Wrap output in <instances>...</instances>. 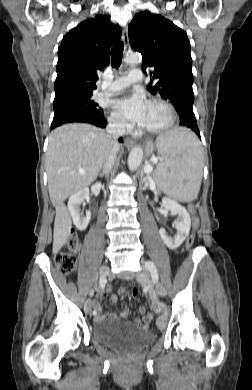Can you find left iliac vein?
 Masks as SVG:
<instances>
[{
	"instance_id": "1",
	"label": "left iliac vein",
	"mask_w": 252,
	"mask_h": 390,
	"mask_svg": "<svg viewBox=\"0 0 252 390\" xmlns=\"http://www.w3.org/2000/svg\"><path fill=\"white\" fill-rule=\"evenodd\" d=\"M137 280L144 284L149 289V295L152 300V307L155 313L159 314L163 311L159 299L158 294L165 295L166 290L163 285L157 284L156 287L150 280L149 272L146 268H143L136 276Z\"/></svg>"
}]
</instances>
